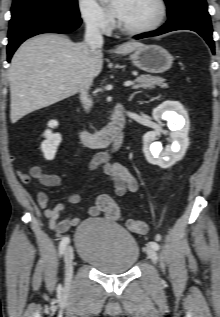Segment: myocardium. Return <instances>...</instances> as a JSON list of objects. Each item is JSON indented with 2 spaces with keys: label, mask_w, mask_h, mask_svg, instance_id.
Segmentation results:
<instances>
[{
  "label": "myocardium",
  "mask_w": 220,
  "mask_h": 317,
  "mask_svg": "<svg viewBox=\"0 0 220 317\" xmlns=\"http://www.w3.org/2000/svg\"><path fill=\"white\" fill-rule=\"evenodd\" d=\"M159 13L157 19L150 25L142 27V28H128L120 24V22H117V28L126 35L131 36H140L145 35L154 32L157 30L163 22L165 21V18L167 16V4L165 0H155Z\"/></svg>",
  "instance_id": "1"
}]
</instances>
